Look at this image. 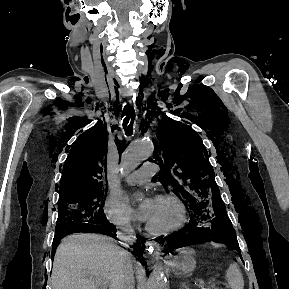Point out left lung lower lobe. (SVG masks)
Listing matches in <instances>:
<instances>
[{
  "instance_id": "1",
  "label": "left lung lower lobe",
  "mask_w": 289,
  "mask_h": 289,
  "mask_svg": "<svg viewBox=\"0 0 289 289\" xmlns=\"http://www.w3.org/2000/svg\"><path fill=\"white\" fill-rule=\"evenodd\" d=\"M215 213L219 217L226 218L227 220L224 221L226 222V224H230L224 205L217 206L215 209ZM207 218L208 217L206 214H203L199 217H190L189 223L183 229H181L179 232L172 233L169 236L165 237L163 241L167 243L168 250L171 251L172 249L192 245L194 244V239L200 236L210 237L218 242H221L217 235L219 231L218 224L215 221L216 218H214L213 220H208ZM227 226H229L227 229L229 234V244L234 246L241 255L237 238L233 233L232 226L231 224Z\"/></svg>"
}]
</instances>
